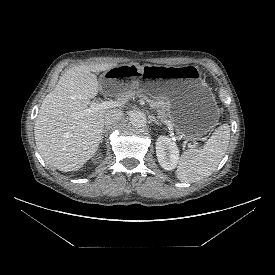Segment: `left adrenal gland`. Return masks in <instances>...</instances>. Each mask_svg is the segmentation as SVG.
Segmentation results:
<instances>
[{"mask_svg":"<svg viewBox=\"0 0 275 275\" xmlns=\"http://www.w3.org/2000/svg\"><path fill=\"white\" fill-rule=\"evenodd\" d=\"M150 121H151V122H154V123L157 124V125H161V124L158 122V120H156V118H155L154 116H150Z\"/></svg>","mask_w":275,"mask_h":275,"instance_id":"left-adrenal-gland-1","label":"left adrenal gland"}]
</instances>
